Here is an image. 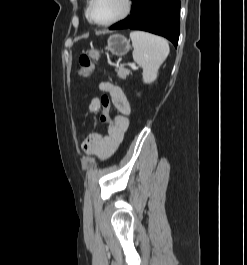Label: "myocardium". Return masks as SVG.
Listing matches in <instances>:
<instances>
[{"mask_svg": "<svg viewBox=\"0 0 247 265\" xmlns=\"http://www.w3.org/2000/svg\"><path fill=\"white\" fill-rule=\"evenodd\" d=\"M94 2H95V0H89L87 10H86V15H87L88 20L92 24H94L98 27L113 26V25L125 20L131 14V12L133 10V0H122L123 9L117 16H115L114 18H112L111 20L106 21V22H97L93 19L92 14H91V10H92Z\"/></svg>", "mask_w": 247, "mask_h": 265, "instance_id": "f54148a6", "label": "myocardium"}]
</instances>
